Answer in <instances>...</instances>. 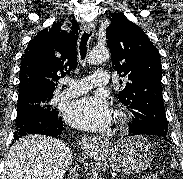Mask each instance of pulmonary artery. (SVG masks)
I'll return each mask as SVG.
<instances>
[{
    "instance_id": "obj_1",
    "label": "pulmonary artery",
    "mask_w": 183,
    "mask_h": 179,
    "mask_svg": "<svg viewBox=\"0 0 183 179\" xmlns=\"http://www.w3.org/2000/svg\"><path fill=\"white\" fill-rule=\"evenodd\" d=\"M109 82V75L106 71H96L91 76L79 79H71L66 83L68 88L60 96L62 98H71L86 93L94 86H104Z\"/></svg>"
}]
</instances>
